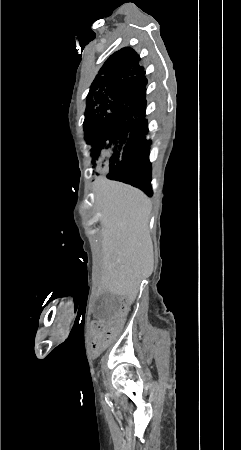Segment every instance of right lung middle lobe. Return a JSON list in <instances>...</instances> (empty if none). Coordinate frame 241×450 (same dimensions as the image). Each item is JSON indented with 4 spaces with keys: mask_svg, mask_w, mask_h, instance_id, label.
<instances>
[{
    "mask_svg": "<svg viewBox=\"0 0 241 450\" xmlns=\"http://www.w3.org/2000/svg\"><path fill=\"white\" fill-rule=\"evenodd\" d=\"M84 132L92 145V167L110 171L145 137L136 124L145 119L146 101L120 98L113 87L92 83Z\"/></svg>",
    "mask_w": 241,
    "mask_h": 450,
    "instance_id": "obj_1",
    "label": "right lung middle lobe"
}]
</instances>
